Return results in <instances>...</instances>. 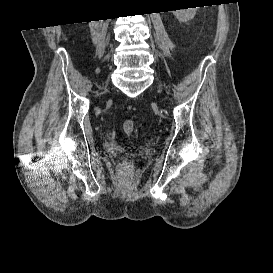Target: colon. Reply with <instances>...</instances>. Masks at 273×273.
Returning a JSON list of instances; mask_svg holds the SVG:
<instances>
[{
    "label": "colon",
    "instance_id": "5ec220e1",
    "mask_svg": "<svg viewBox=\"0 0 273 273\" xmlns=\"http://www.w3.org/2000/svg\"><path fill=\"white\" fill-rule=\"evenodd\" d=\"M135 124L131 119H127L123 122V130L127 135H131L134 131Z\"/></svg>",
    "mask_w": 273,
    "mask_h": 273
}]
</instances>
